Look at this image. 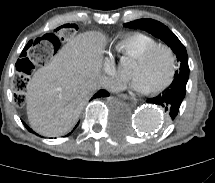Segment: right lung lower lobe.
<instances>
[{
  "label": "right lung lower lobe",
  "mask_w": 215,
  "mask_h": 183,
  "mask_svg": "<svg viewBox=\"0 0 215 183\" xmlns=\"http://www.w3.org/2000/svg\"><path fill=\"white\" fill-rule=\"evenodd\" d=\"M106 96H109V93L106 92L105 90H99L93 97L92 99L94 98H99V97H106ZM25 125V127L30 131V132H33L25 123H23Z\"/></svg>",
  "instance_id": "right-lung-lower-lobe-1"
}]
</instances>
